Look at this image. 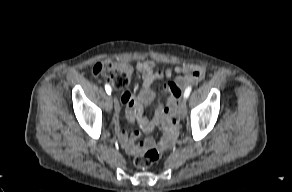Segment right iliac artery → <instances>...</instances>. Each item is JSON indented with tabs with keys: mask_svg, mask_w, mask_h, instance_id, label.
<instances>
[{
	"mask_svg": "<svg viewBox=\"0 0 292 192\" xmlns=\"http://www.w3.org/2000/svg\"><path fill=\"white\" fill-rule=\"evenodd\" d=\"M105 90H106L107 94H111V92H112L111 86L109 84H105Z\"/></svg>",
	"mask_w": 292,
	"mask_h": 192,
	"instance_id": "82829eb1",
	"label": "right iliac artery"
}]
</instances>
